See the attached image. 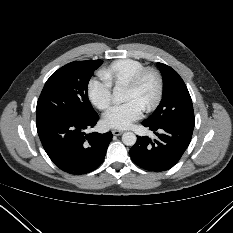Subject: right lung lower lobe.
<instances>
[{
    "mask_svg": "<svg viewBox=\"0 0 233 233\" xmlns=\"http://www.w3.org/2000/svg\"><path fill=\"white\" fill-rule=\"evenodd\" d=\"M97 113L80 119H48L37 124L41 143L61 170L70 174H87L101 165L112 139V133L86 134L98 121Z\"/></svg>",
    "mask_w": 233,
    "mask_h": 233,
    "instance_id": "1",
    "label": "right lung lower lobe"
}]
</instances>
